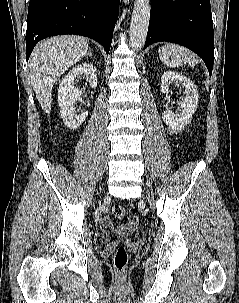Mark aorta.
Wrapping results in <instances>:
<instances>
[{"mask_svg": "<svg viewBox=\"0 0 239 303\" xmlns=\"http://www.w3.org/2000/svg\"><path fill=\"white\" fill-rule=\"evenodd\" d=\"M150 0H136L132 12L129 39L133 49L143 47L149 26Z\"/></svg>", "mask_w": 239, "mask_h": 303, "instance_id": "aorta-1", "label": "aorta"}]
</instances>
